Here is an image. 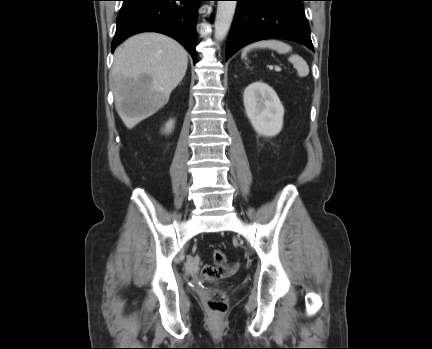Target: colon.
<instances>
[{
  "instance_id": "colon-1",
  "label": "colon",
  "mask_w": 432,
  "mask_h": 349,
  "mask_svg": "<svg viewBox=\"0 0 432 349\" xmlns=\"http://www.w3.org/2000/svg\"><path fill=\"white\" fill-rule=\"evenodd\" d=\"M212 258L215 265L219 268L227 266V259L221 250H214ZM227 298L220 293H212L209 298V307L215 314H222L227 309Z\"/></svg>"
}]
</instances>
